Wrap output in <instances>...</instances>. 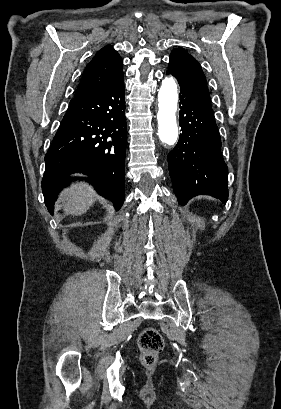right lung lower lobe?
Here are the masks:
<instances>
[{"label":"right lung lower lobe","instance_id":"right-lung-lower-lobe-1","mask_svg":"<svg viewBox=\"0 0 281 409\" xmlns=\"http://www.w3.org/2000/svg\"><path fill=\"white\" fill-rule=\"evenodd\" d=\"M123 75L99 93L70 101L45 156L42 191L51 214L60 182L77 171L89 175L116 210L123 205L127 139Z\"/></svg>","mask_w":281,"mask_h":409}]
</instances>
